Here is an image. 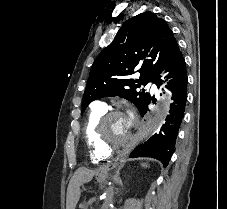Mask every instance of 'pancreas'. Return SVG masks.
Segmentation results:
<instances>
[{
    "label": "pancreas",
    "mask_w": 227,
    "mask_h": 209,
    "mask_svg": "<svg viewBox=\"0 0 227 209\" xmlns=\"http://www.w3.org/2000/svg\"><path fill=\"white\" fill-rule=\"evenodd\" d=\"M84 209H90V207L89 206H86Z\"/></svg>",
    "instance_id": "1"
}]
</instances>
